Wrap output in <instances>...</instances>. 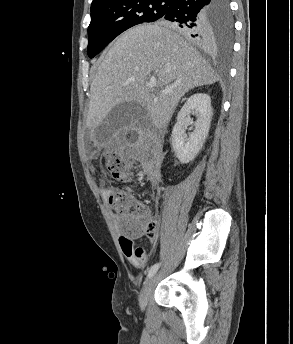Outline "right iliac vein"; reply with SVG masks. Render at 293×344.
Masks as SVG:
<instances>
[{
	"mask_svg": "<svg viewBox=\"0 0 293 344\" xmlns=\"http://www.w3.org/2000/svg\"><path fill=\"white\" fill-rule=\"evenodd\" d=\"M155 281H156V276H152L147 281V283L144 285V287H143V289H142V291L140 293L139 305H140L141 310H145V308H146L148 299H149V297H150V295L152 293V290L154 288Z\"/></svg>",
	"mask_w": 293,
	"mask_h": 344,
	"instance_id": "right-iliac-vein-1",
	"label": "right iliac vein"
}]
</instances>
